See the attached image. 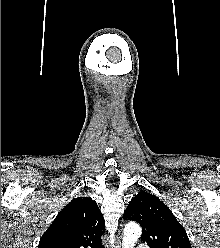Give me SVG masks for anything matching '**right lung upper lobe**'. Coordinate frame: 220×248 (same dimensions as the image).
Masks as SVG:
<instances>
[{"instance_id":"cb5924a9","label":"right lung upper lobe","mask_w":220,"mask_h":248,"mask_svg":"<svg viewBox=\"0 0 220 248\" xmlns=\"http://www.w3.org/2000/svg\"><path fill=\"white\" fill-rule=\"evenodd\" d=\"M104 218L91 198L73 199L44 232L38 248H104Z\"/></svg>"}]
</instances>
